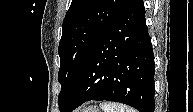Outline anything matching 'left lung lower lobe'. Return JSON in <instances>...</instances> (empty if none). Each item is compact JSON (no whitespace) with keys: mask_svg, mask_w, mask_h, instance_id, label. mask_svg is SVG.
Segmentation results:
<instances>
[{"mask_svg":"<svg viewBox=\"0 0 193 112\" xmlns=\"http://www.w3.org/2000/svg\"><path fill=\"white\" fill-rule=\"evenodd\" d=\"M154 54L142 0H132L96 42L61 112L90 100L116 101L154 112Z\"/></svg>","mask_w":193,"mask_h":112,"instance_id":"0a47b994","label":"left lung lower lobe"}]
</instances>
